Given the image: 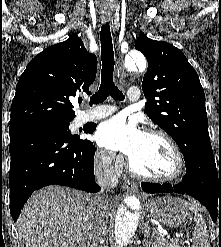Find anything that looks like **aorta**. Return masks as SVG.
I'll use <instances>...</instances> for the list:
<instances>
[{"instance_id":"obj_1","label":"aorta","mask_w":221,"mask_h":247,"mask_svg":"<svg viewBox=\"0 0 221 247\" xmlns=\"http://www.w3.org/2000/svg\"><path fill=\"white\" fill-rule=\"evenodd\" d=\"M138 67L140 70L145 69L146 60L139 52H131L125 59L124 68L127 71H133ZM139 221L137 212L129 211L125 206H120L114 226V235L118 247H126L131 236L135 233Z\"/></svg>"}]
</instances>
